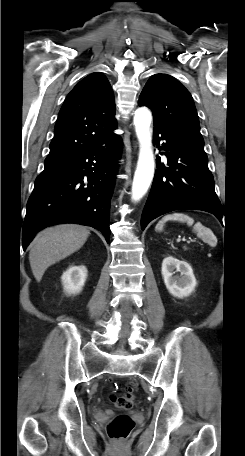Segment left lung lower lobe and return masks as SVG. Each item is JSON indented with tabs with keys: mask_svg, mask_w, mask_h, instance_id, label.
Segmentation results:
<instances>
[{
	"mask_svg": "<svg viewBox=\"0 0 245 456\" xmlns=\"http://www.w3.org/2000/svg\"><path fill=\"white\" fill-rule=\"evenodd\" d=\"M154 140H164L159 150L165 151L168 167L157 158V170L141 217L142 230L153 219L178 209L203 210L222 220L204 145L166 126L154 125Z\"/></svg>",
	"mask_w": 245,
	"mask_h": 456,
	"instance_id": "left-lung-lower-lobe-1",
	"label": "left lung lower lobe"
}]
</instances>
